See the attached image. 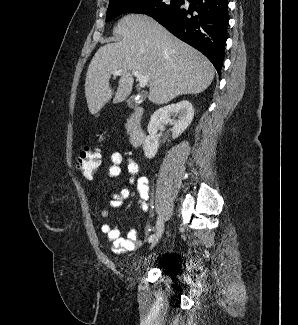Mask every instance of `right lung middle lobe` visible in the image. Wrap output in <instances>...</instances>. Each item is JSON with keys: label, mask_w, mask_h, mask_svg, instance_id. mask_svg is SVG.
<instances>
[{"label": "right lung middle lobe", "mask_w": 298, "mask_h": 325, "mask_svg": "<svg viewBox=\"0 0 298 325\" xmlns=\"http://www.w3.org/2000/svg\"><path fill=\"white\" fill-rule=\"evenodd\" d=\"M184 0H113L109 2L106 22L123 13H142L154 17L160 13L179 8Z\"/></svg>", "instance_id": "dd1d6c3e"}]
</instances>
